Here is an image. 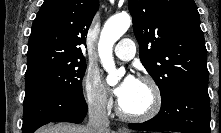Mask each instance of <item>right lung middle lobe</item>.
I'll return each mask as SVG.
<instances>
[{
  "instance_id": "dd1d6c3e",
  "label": "right lung middle lobe",
  "mask_w": 221,
  "mask_h": 133,
  "mask_svg": "<svg viewBox=\"0 0 221 133\" xmlns=\"http://www.w3.org/2000/svg\"><path fill=\"white\" fill-rule=\"evenodd\" d=\"M85 70L83 62L49 66L25 75V84L35 82L71 96H83L82 78Z\"/></svg>"
}]
</instances>
